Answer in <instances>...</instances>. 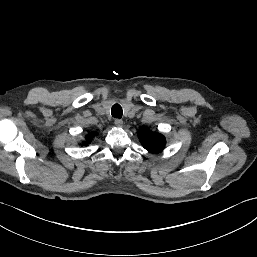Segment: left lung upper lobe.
Segmentation results:
<instances>
[{"label":"left lung upper lobe","instance_id":"obj_1","mask_svg":"<svg viewBox=\"0 0 257 257\" xmlns=\"http://www.w3.org/2000/svg\"><path fill=\"white\" fill-rule=\"evenodd\" d=\"M138 137L143 147L149 152H159L164 149L166 144L162 134L152 132L148 128H142L138 132Z\"/></svg>","mask_w":257,"mask_h":257}]
</instances>
